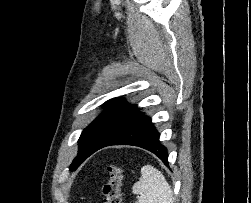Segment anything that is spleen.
Listing matches in <instances>:
<instances>
[{
	"instance_id": "1",
	"label": "spleen",
	"mask_w": 251,
	"mask_h": 203,
	"mask_svg": "<svg viewBox=\"0 0 251 203\" xmlns=\"http://www.w3.org/2000/svg\"><path fill=\"white\" fill-rule=\"evenodd\" d=\"M132 192L138 194L136 203H173V192L163 174L151 165L141 169L139 181Z\"/></svg>"
}]
</instances>
